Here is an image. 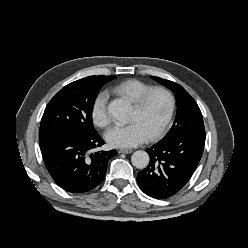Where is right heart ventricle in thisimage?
I'll list each match as a JSON object with an SVG mask.
<instances>
[{"label":"right heart ventricle","instance_id":"1","mask_svg":"<svg viewBox=\"0 0 248 248\" xmlns=\"http://www.w3.org/2000/svg\"><path fill=\"white\" fill-rule=\"evenodd\" d=\"M152 88V86L138 79L124 80L112 88V91L120 97L127 98L135 102L143 93Z\"/></svg>","mask_w":248,"mask_h":248}]
</instances>
